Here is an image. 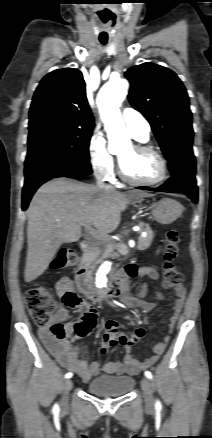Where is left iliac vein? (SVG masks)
Wrapping results in <instances>:
<instances>
[{"label":"left iliac vein","mask_w":212,"mask_h":438,"mask_svg":"<svg viewBox=\"0 0 212 438\" xmlns=\"http://www.w3.org/2000/svg\"><path fill=\"white\" fill-rule=\"evenodd\" d=\"M141 387L144 392L146 406L152 408L154 406V397L150 380L148 378H143L141 381Z\"/></svg>","instance_id":"obj_1"}]
</instances>
